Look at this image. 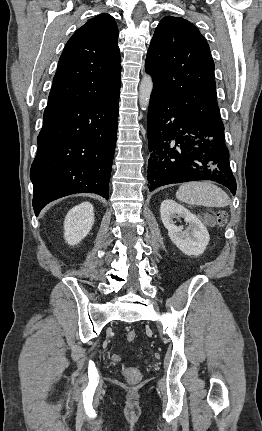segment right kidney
<instances>
[{
    "label": "right kidney",
    "mask_w": 262,
    "mask_h": 431,
    "mask_svg": "<svg viewBox=\"0 0 262 431\" xmlns=\"http://www.w3.org/2000/svg\"><path fill=\"white\" fill-rule=\"evenodd\" d=\"M94 223V210L90 202L73 207L64 221V238L69 245H76L90 232Z\"/></svg>",
    "instance_id": "ca27d5eb"
}]
</instances>
